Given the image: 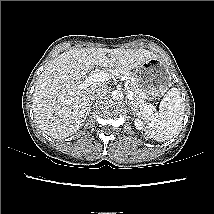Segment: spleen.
<instances>
[{"label": "spleen", "instance_id": "3e777b00", "mask_svg": "<svg viewBox=\"0 0 214 214\" xmlns=\"http://www.w3.org/2000/svg\"><path fill=\"white\" fill-rule=\"evenodd\" d=\"M184 103L177 88H171L159 105L157 116L144 115L148 138L164 142L178 135L183 122Z\"/></svg>", "mask_w": 214, "mask_h": 214}]
</instances>
